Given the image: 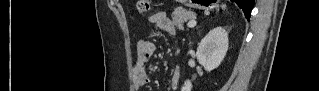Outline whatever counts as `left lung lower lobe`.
Returning a JSON list of instances; mask_svg holds the SVG:
<instances>
[{
  "label": "left lung lower lobe",
  "mask_w": 319,
  "mask_h": 91,
  "mask_svg": "<svg viewBox=\"0 0 319 91\" xmlns=\"http://www.w3.org/2000/svg\"><path fill=\"white\" fill-rule=\"evenodd\" d=\"M236 2V4L242 8L245 17L248 19H250V14L254 5V0H234Z\"/></svg>",
  "instance_id": "0a47b994"
}]
</instances>
